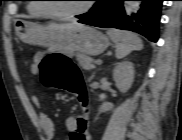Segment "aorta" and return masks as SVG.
<instances>
[{"instance_id":"1","label":"aorta","mask_w":182,"mask_h":140,"mask_svg":"<svg viewBox=\"0 0 182 140\" xmlns=\"http://www.w3.org/2000/svg\"><path fill=\"white\" fill-rule=\"evenodd\" d=\"M140 1H127L125 4L127 14L135 13L140 7Z\"/></svg>"}]
</instances>
